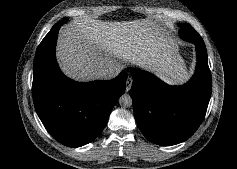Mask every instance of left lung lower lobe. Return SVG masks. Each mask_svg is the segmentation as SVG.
I'll return each mask as SVG.
<instances>
[{
	"mask_svg": "<svg viewBox=\"0 0 237 169\" xmlns=\"http://www.w3.org/2000/svg\"><path fill=\"white\" fill-rule=\"evenodd\" d=\"M196 46L197 64L192 79L170 86L151 73L132 70L130 96L137 124L151 142L169 146L187 140L201 124L211 97L212 79L204 42Z\"/></svg>",
	"mask_w": 237,
	"mask_h": 169,
	"instance_id": "1",
	"label": "left lung lower lobe"
}]
</instances>
